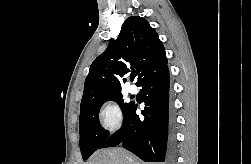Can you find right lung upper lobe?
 Segmentation results:
<instances>
[{
  "mask_svg": "<svg viewBox=\"0 0 251 164\" xmlns=\"http://www.w3.org/2000/svg\"><path fill=\"white\" fill-rule=\"evenodd\" d=\"M165 64V49L155 29L143 17L127 18L118 38L91 64L80 109L102 96L121 92L124 75L130 70L136 69L138 84Z\"/></svg>",
  "mask_w": 251,
  "mask_h": 164,
  "instance_id": "cb5924a9",
  "label": "right lung upper lobe"
}]
</instances>
